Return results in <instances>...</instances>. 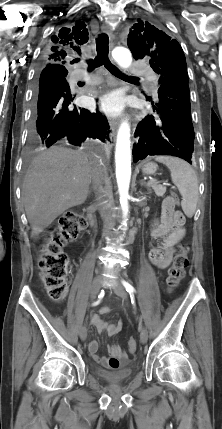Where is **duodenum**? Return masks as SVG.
Instances as JSON below:
<instances>
[{
    "instance_id": "duodenum-1",
    "label": "duodenum",
    "mask_w": 222,
    "mask_h": 429,
    "mask_svg": "<svg viewBox=\"0 0 222 429\" xmlns=\"http://www.w3.org/2000/svg\"><path fill=\"white\" fill-rule=\"evenodd\" d=\"M87 220H88V222H89V224H90V226L92 228L96 227V219H95V216L92 213H89L87 215Z\"/></svg>"
}]
</instances>
